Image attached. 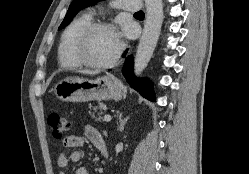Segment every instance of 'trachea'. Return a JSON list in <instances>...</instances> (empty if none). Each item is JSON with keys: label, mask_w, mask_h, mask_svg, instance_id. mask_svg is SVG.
<instances>
[{"label": "trachea", "mask_w": 249, "mask_h": 174, "mask_svg": "<svg viewBox=\"0 0 249 174\" xmlns=\"http://www.w3.org/2000/svg\"><path fill=\"white\" fill-rule=\"evenodd\" d=\"M135 14H144L143 11L136 12Z\"/></svg>", "instance_id": "3493384b"}]
</instances>
